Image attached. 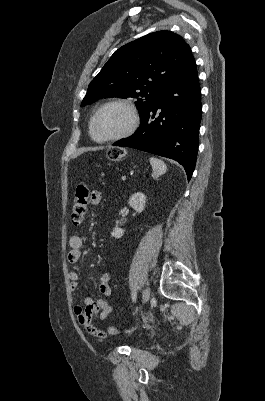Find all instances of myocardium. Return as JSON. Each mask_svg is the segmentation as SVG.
Segmentation results:
<instances>
[{"instance_id": "f54148a6", "label": "myocardium", "mask_w": 265, "mask_h": 401, "mask_svg": "<svg viewBox=\"0 0 265 401\" xmlns=\"http://www.w3.org/2000/svg\"><path fill=\"white\" fill-rule=\"evenodd\" d=\"M111 106H120V107H123L124 109H126L129 114L128 123L123 128V130L120 133H118L117 135L108 137V138H104V139H98L94 136V133H93L94 123H95L97 117L99 116V114L103 110H105L106 108L111 107ZM137 123H138V113H137L135 106L130 101L112 100V101H108V102L104 103L103 105H101L96 110V112L93 114V116L91 117V119L89 121V135L93 141L98 142V143L116 141V140H119V139L123 138L124 136L128 135L130 132H132L136 128Z\"/></svg>"}]
</instances>
